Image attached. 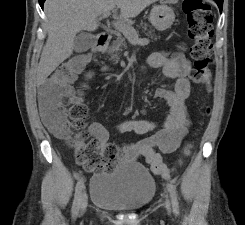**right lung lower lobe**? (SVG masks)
<instances>
[{
  "instance_id": "right-lung-lower-lobe-1",
  "label": "right lung lower lobe",
  "mask_w": 245,
  "mask_h": 225,
  "mask_svg": "<svg viewBox=\"0 0 245 225\" xmlns=\"http://www.w3.org/2000/svg\"><path fill=\"white\" fill-rule=\"evenodd\" d=\"M45 0H39V4L41 6V8L43 9V4H44Z\"/></svg>"
}]
</instances>
